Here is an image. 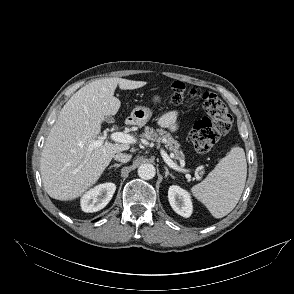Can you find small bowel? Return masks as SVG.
Wrapping results in <instances>:
<instances>
[{"mask_svg":"<svg viewBox=\"0 0 294 294\" xmlns=\"http://www.w3.org/2000/svg\"><path fill=\"white\" fill-rule=\"evenodd\" d=\"M159 124L162 127L168 128L171 131L177 129V113L174 111L167 112L162 115L159 119Z\"/></svg>","mask_w":294,"mask_h":294,"instance_id":"obj_1","label":"small bowel"}]
</instances>
